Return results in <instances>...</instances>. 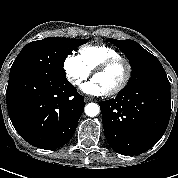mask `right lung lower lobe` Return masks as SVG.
<instances>
[{
    "label": "right lung lower lobe",
    "instance_id": "98d812e1",
    "mask_svg": "<svg viewBox=\"0 0 178 178\" xmlns=\"http://www.w3.org/2000/svg\"><path fill=\"white\" fill-rule=\"evenodd\" d=\"M6 102L18 134L46 150L70 140L85 106L84 97L66 77L52 73L9 77Z\"/></svg>",
    "mask_w": 178,
    "mask_h": 178
}]
</instances>
